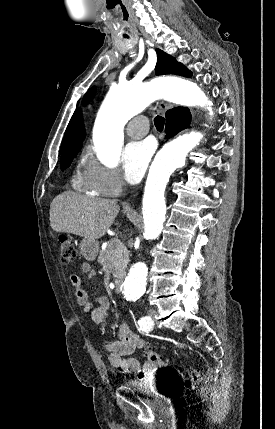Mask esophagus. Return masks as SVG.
Masks as SVG:
<instances>
[{
  "label": "esophagus",
  "instance_id": "obj_1",
  "mask_svg": "<svg viewBox=\"0 0 275 429\" xmlns=\"http://www.w3.org/2000/svg\"><path fill=\"white\" fill-rule=\"evenodd\" d=\"M159 108H160L162 113H165L168 109L171 108V105L166 103L165 101H160L159 102Z\"/></svg>",
  "mask_w": 275,
  "mask_h": 429
}]
</instances>
